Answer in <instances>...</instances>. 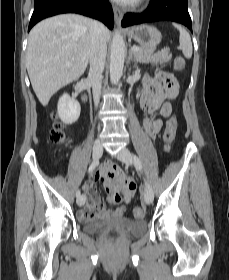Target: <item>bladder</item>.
<instances>
[{
	"label": "bladder",
	"instance_id": "31cf9c89",
	"mask_svg": "<svg viewBox=\"0 0 229 280\" xmlns=\"http://www.w3.org/2000/svg\"><path fill=\"white\" fill-rule=\"evenodd\" d=\"M128 235H140L146 232L147 224L143 219L121 218L118 221ZM106 225L104 220L88 219L83 221L84 231L90 234L99 233Z\"/></svg>",
	"mask_w": 229,
	"mask_h": 280
}]
</instances>
